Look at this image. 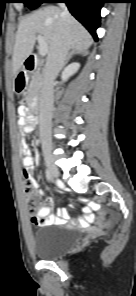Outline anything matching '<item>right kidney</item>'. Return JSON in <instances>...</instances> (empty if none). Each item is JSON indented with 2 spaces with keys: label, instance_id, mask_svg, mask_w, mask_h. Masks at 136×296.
<instances>
[{
  "label": "right kidney",
  "instance_id": "ca27d5eb",
  "mask_svg": "<svg viewBox=\"0 0 136 296\" xmlns=\"http://www.w3.org/2000/svg\"><path fill=\"white\" fill-rule=\"evenodd\" d=\"M79 68H80V64L77 62H74L68 65L62 72V76H61L62 80L66 82L69 79V77H71L73 74H75L78 71Z\"/></svg>",
  "mask_w": 136,
  "mask_h": 296
}]
</instances>
